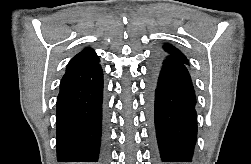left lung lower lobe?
Segmentation results:
<instances>
[{
	"label": "left lung lower lobe",
	"instance_id": "1",
	"mask_svg": "<svg viewBox=\"0 0 251 164\" xmlns=\"http://www.w3.org/2000/svg\"><path fill=\"white\" fill-rule=\"evenodd\" d=\"M187 65L160 54L149 69L147 110L156 163L193 161L196 97Z\"/></svg>",
	"mask_w": 251,
	"mask_h": 164
}]
</instances>
